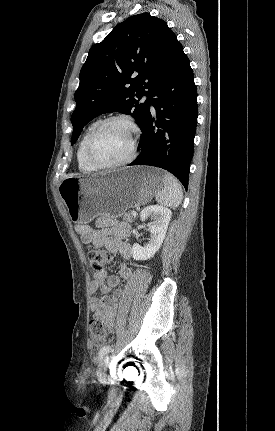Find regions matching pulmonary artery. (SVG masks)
<instances>
[{"label":"pulmonary artery","mask_w":275,"mask_h":431,"mask_svg":"<svg viewBox=\"0 0 275 431\" xmlns=\"http://www.w3.org/2000/svg\"><path fill=\"white\" fill-rule=\"evenodd\" d=\"M147 99V97H144V100H146ZM151 108L153 109V106H151Z\"/></svg>","instance_id":"pulmonary-artery-1"}]
</instances>
